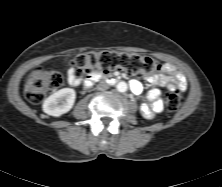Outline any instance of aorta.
I'll return each mask as SVG.
<instances>
[{"instance_id": "762f6f07", "label": "aorta", "mask_w": 222, "mask_h": 187, "mask_svg": "<svg viewBox=\"0 0 222 187\" xmlns=\"http://www.w3.org/2000/svg\"><path fill=\"white\" fill-rule=\"evenodd\" d=\"M116 88L119 92H126L127 91V83L124 81H121L117 84Z\"/></svg>"}]
</instances>
